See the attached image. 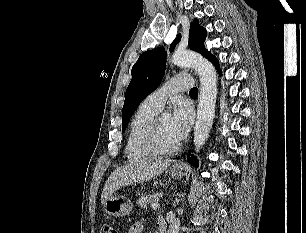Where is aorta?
<instances>
[{"instance_id":"obj_1","label":"aorta","mask_w":306,"mask_h":233,"mask_svg":"<svg viewBox=\"0 0 306 233\" xmlns=\"http://www.w3.org/2000/svg\"><path fill=\"white\" fill-rule=\"evenodd\" d=\"M171 61L176 66L195 69L200 77L201 88L194 126V146L195 152L198 153L209 136L215 115L218 93L216 70L211 62L192 51L176 50ZM179 229L180 221L176 218L170 224L167 233H179Z\"/></svg>"}]
</instances>
